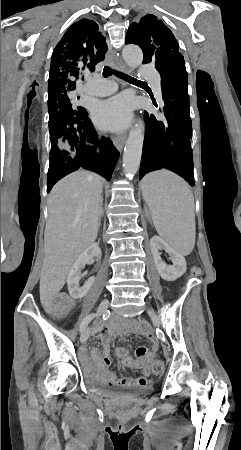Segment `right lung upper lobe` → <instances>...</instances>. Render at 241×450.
Returning <instances> with one entry per match:
<instances>
[{
  "label": "right lung upper lobe",
  "instance_id": "obj_1",
  "mask_svg": "<svg viewBox=\"0 0 241 450\" xmlns=\"http://www.w3.org/2000/svg\"><path fill=\"white\" fill-rule=\"evenodd\" d=\"M98 29L94 21L81 19L66 31L52 54L48 100L70 95L76 81L105 59L106 38Z\"/></svg>",
  "mask_w": 241,
  "mask_h": 450
}]
</instances>
